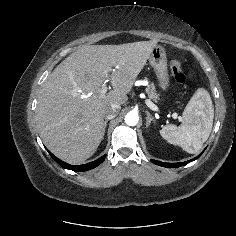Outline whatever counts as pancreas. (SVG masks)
<instances>
[{"instance_id":"obj_1","label":"pancreas","mask_w":236,"mask_h":236,"mask_svg":"<svg viewBox=\"0 0 236 236\" xmlns=\"http://www.w3.org/2000/svg\"><path fill=\"white\" fill-rule=\"evenodd\" d=\"M146 93L148 94L150 99H153L154 101H157L158 99V94L155 91V86L153 84L149 85L146 88Z\"/></svg>"}]
</instances>
